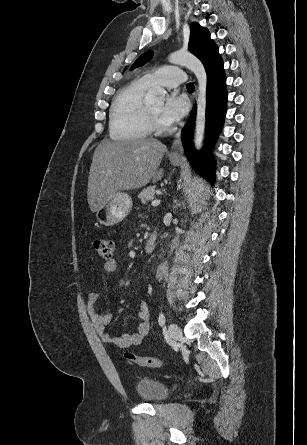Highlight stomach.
Wrapping results in <instances>:
<instances>
[{"instance_id":"stomach-1","label":"stomach","mask_w":307,"mask_h":445,"mask_svg":"<svg viewBox=\"0 0 307 445\" xmlns=\"http://www.w3.org/2000/svg\"><path fill=\"white\" fill-rule=\"evenodd\" d=\"M172 164H180L178 160H171ZM132 208V198L128 192H114L103 206L96 210V218L104 227H114L126 218Z\"/></svg>"}]
</instances>
